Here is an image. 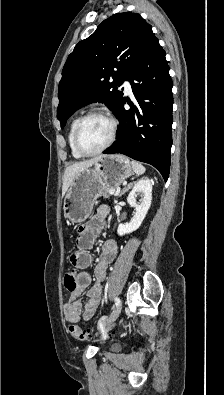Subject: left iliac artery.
Returning <instances> with one entry per match:
<instances>
[{
	"label": "left iliac artery",
	"mask_w": 224,
	"mask_h": 395,
	"mask_svg": "<svg viewBox=\"0 0 224 395\" xmlns=\"http://www.w3.org/2000/svg\"><path fill=\"white\" fill-rule=\"evenodd\" d=\"M120 303V299L119 298H115V305H118Z\"/></svg>",
	"instance_id": "1"
}]
</instances>
